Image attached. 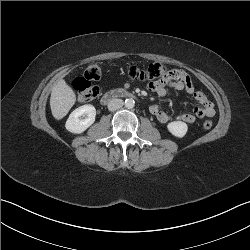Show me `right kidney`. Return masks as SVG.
I'll return each instance as SVG.
<instances>
[{
	"mask_svg": "<svg viewBox=\"0 0 250 250\" xmlns=\"http://www.w3.org/2000/svg\"><path fill=\"white\" fill-rule=\"evenodd\" d=\"M96 109L93 105H83L75 109L66 121V129L75 134L83 133L95 121ZM85 117V119H81Z\"/></svg>",
	"mask_w": 250,
	"mask_h": 250,
	"instance_id": "ca27d5eb",
	"label": "right kidney"
}]
</instances>
